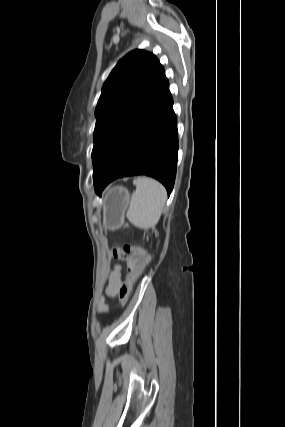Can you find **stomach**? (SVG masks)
<instances>
[{
	"label": "stomach",
	"mask_w": 285,
	"mask_h": 427,
	"mask_svg": "<svg viewBox=\"0 0 285 427\" xmlns=\"http://www.w3.org/2000/svg\"><path fill=\"white\" fill-rule=\"evenodd\" d=\"M129 192L126 188L116 186L111 188L103 203L104 226L108 230H116L123 225L124 212L128 206Z\"/></svg>",
	"instance_id": "stomach-1"
}]
</instances>
